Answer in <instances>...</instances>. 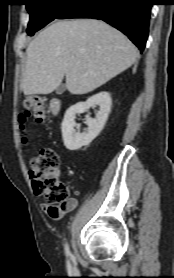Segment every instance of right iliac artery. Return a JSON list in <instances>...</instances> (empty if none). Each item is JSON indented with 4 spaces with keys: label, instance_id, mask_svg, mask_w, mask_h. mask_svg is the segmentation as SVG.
<instances>
[{
    "label": "right iliac artery",
    "instance_id": "right-iliac-artery-1",
    "mask_svg": "<svg viewBox=\"0 0 174 278\" xmlns=\"http://www.w3.org/2000/svg\"><path fill=\"white\" fill-rule=\"evenodd\" d=\"M65 253H66V256H71V252L69 250V247H68V244H65Z\"/></svg>",
    "mask_w": 174,
    "mask_h": 278
}]
</instances>
